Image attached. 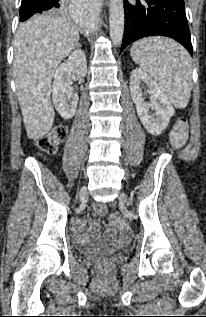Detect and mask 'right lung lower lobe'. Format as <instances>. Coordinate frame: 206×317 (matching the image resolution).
<instances>
[{
	"mask_svg": "<svg viewBox=\"0 0 206 317\" xmlns=\"http://www.w3.org/2000/svg\"><path fill=\"white\" fill-rule=\"evenodd\" d=\"M59 1L60 0H37V1H34L33 3L36 4L37 6L41 7V8H47V7L54 6ZM44 11H47V10H43V11H41L39 13H42Z\"/></svg>",
	"mask_w": 206,
	"mask_h": 317,
	"instance_id": "1",
	"label": "right lung lower lobe"
}]
</instances>
